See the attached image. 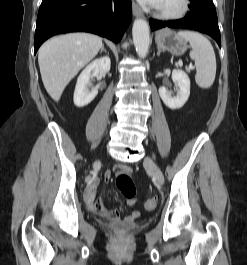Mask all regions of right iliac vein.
I'll use <instances>...</instances> for the list:
<instances>
[{"label": "right iliac vein", "mask_w": 247, "mask_h": 265, "mask_svg": "<svg viewBox=\"0 0 247 265\" xmlns=\"http://www.w3.org/2000/svg\"><path fill=\"white\" fill-rule=\"evenodd\" d=\"M99 164V161H96L95 163H94V166H97Z\"/></svg>", "instance_id": "obj_1"}]
</instances>
